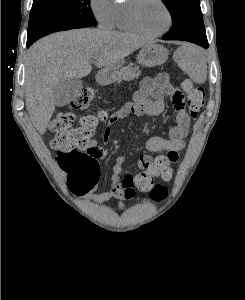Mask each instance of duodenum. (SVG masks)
Masks as SVG:
<instances>
[{
    "label": "duodenum",
    "instance_id": "410a0bca",
    "mask_svg": "<svg viewBox=\"0 0 245 300\" xmlns=\"http://www.w3.org/2000/svg\"><path fill=\"white\" fill-rule=\"evenodd\" d=\"M99 79H100L101 81H104V80L106 79V74H105V73L100 74V75H99Z\"/></svg>",
    "mask_w": 245,
    "mask_h": 300
}]
</instances>
